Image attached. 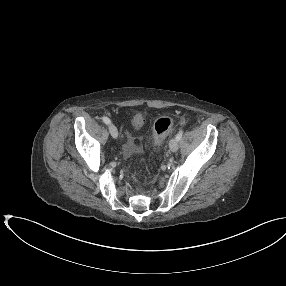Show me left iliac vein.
<instances>
[{
    "mask_svg": "<svg viewBox=\"0 0 286 286\" xmlns=\"http://www.w3.org/2000/svg\"><path fill=\"white\" fill-rule=\"evenodd\" d=\"M169 147L172 152H176L178 150V140L176 138H172L169 142Z\"/></svg>",
    "mask_w": 286,
    "mask_h": 286,
    "instance_id": "1",
    "label": "left iliac vein"
}]
</instances>
